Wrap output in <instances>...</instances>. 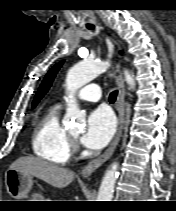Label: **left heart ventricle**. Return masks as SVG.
I'll list each match as a JSON object with an SVG mask.
<instances>
[{
	"instance_id": "1",
	"label": "left heart ventricle",
	"mask_w": 176,
	"mask_h": 211,
	"mask_svg": "<svg viewBox=\"0 0 176 211\" xmlns=\"http://www.w3.org/2000/svg\"><path fill=\"white\" fill-rule=\"evenodd\" d=\"M71 134L74 135V136H78L79 131H71Z\"/></svg>"
}]
</instances>
